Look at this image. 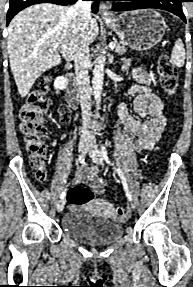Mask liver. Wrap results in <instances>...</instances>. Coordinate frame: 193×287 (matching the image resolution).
<instances>
[{
    "mask_svg": "<svg viewBox=\"0 0 193 287\" xmlns=\"http://www.w3.org/2000/svg\"><path fill=\"white\" fill-rule=\"evenodd\" d=\"M98 31L96 18H91L86 29L89 44L95 41ZM80 34L78 18L67 6L41 3L24 9L12 19L7 47L22 98L42 73L61 63L60 54L68 61L74 58ZM54 43L58 47H53Z\"/></svg>",
    "mask_w": 193,
    "mask_h": 287,
    "instance_id": "6515ba94",
    "label": "liver"
}]
</instances>
